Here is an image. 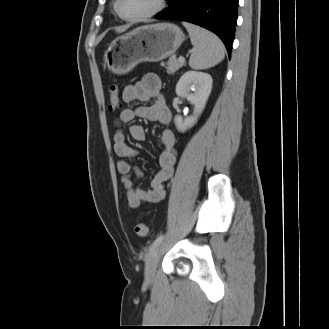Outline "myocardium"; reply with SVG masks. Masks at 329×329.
I'll return each mask as SVG.
<instances>
[{"instance_id": "f54148a6", "label": "myocardium", "mask_w": 329, "mask_h": 329, "mask_svg": "<svg viewBox=\"0 0 329 329\" xmlns=\"http://www.w3.org/2000/svg\"><path fill=\"white\" fill-rule=\"evenodd\" d=\"M119 3H120V0H115L114 10H115L116 14L118 15V17L125 21L136 22V21H141L144 19L151 18V17L157 15L158 13H160L166 5V0H157L155 7L151 11L144 13L142 15L134 16V17L123 16L119 11Z\"/></svg>"}]
</instances>
